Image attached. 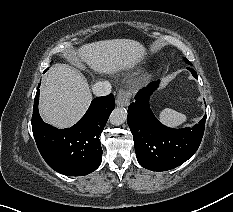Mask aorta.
<instances>
[{"label": "aorta", "mask_w": 233, "mask_h": 212, "mask_svg": "<svg viewBox=\"0 0 233 212\" xmlns=\"http://www.w3.org/2000/svg\"><path fill=\"white\" fill-rule=\"evenodd\" d=\"M127 119V110L125 108H115L110 115V123L119 126Z\"/></svg>", "instance_id": "1"}]
</instances>
